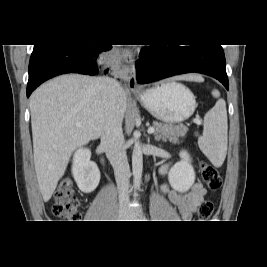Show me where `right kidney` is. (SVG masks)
Wrapping results in <instances>:
<instances>
[{
	"instance_id": "obj_1",
	"label": "right kidney",
	"mask_w": 267,
	"mask_h": 267,
	"mask_svg": "<svg viewBox=\"0 0 267 267\" xmlns=\"http://www.w3.org/2000/svg\"><path fill=\"white\" fill-rule=\"evenodd\" d=\"M91 151L88 148H79L72 163V174L78 188L84 193H91L100 182V171L95 162L90 160Z\"/></svg>"
}]
</instances>
